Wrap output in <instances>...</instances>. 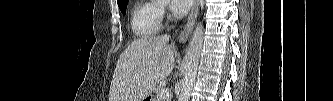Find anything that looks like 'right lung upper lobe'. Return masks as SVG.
<instances>
[{"label": "right lung upper lobe", "instance_id": "cb5924a9", "mask_svg": "<svg viewBox=\"0 0 333 101\" xmlns=\"http://www.w3.org/2000/svg\"><path fill=\"white\" fill-rule=\"evenodd\" d=\"M124 1H126V0H117V3H118V4H121V3H123Z\"/></svg>", "mask_w": 333, "mask_h": 101}]
</instances>
